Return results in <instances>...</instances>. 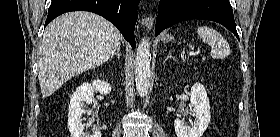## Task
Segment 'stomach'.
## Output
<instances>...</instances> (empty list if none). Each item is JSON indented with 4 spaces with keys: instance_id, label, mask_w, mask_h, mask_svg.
Masks as SVG:
<instances>
[{
    "instance_id": "0dacf381",
    "label": "stomach",
    "mask_w": 280,
    "mask_h": 137,
    "mask_svg": "<svg viewBox=\"0 0 280 137\" xmlns=\"http://www.w3.org/2000/svg\"><path fill=\"white\" fill-rule=\"evenodd\" d=\"M173 39V37L171 36V35H164V37H163V41H166V42H168V41H171Z\"/></svg>"
}]
</instances>
